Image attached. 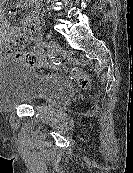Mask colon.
<instances>
[{
    "mask_svg": "<svg viewBox=\"0 0 133 173\" xmlns=\"http://www.w3.org/2000/svg\"><path fill=\"white\" fill-rule=\"evenodd\" d=\"M24 40L22 38L10 39L3 49V53L6 57H14L15 59L32 63L36 57L33 53L26 52L23 49ZM70 74L77 81L80 87L87 88L91 84L90 76L78 67L70 69Z\"/></svg>",
    "mask_w": 133,
    "mask_h": 173,
    "instance_id": "obj_1",
    "label": "colon"
}]
</instances>
